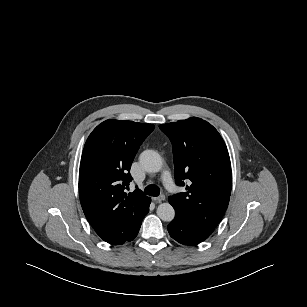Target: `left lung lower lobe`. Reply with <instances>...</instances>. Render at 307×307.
<instances>
[{"label":"left lung lower lobe","mask_w":307,"mask_h":307,"mask_svg":"<svg viewBox=\"0 0 307 307\" xmlns=\"http://www.w3.org/2000/svg\"><path fill=\"white\" fill-rule=\"evenodd\" d=\"M167 228L170 236L184 245H197L210 236L188 223L179 214H175V218Z\"/></svg>","instance_id":"obj_1"}]
</instances>
